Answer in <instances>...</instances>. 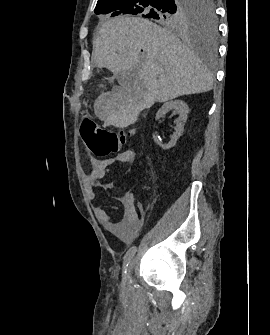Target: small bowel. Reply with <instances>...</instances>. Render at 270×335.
I'll use <instances>...</instances> for the list:
<instances>
[{"mask_svg": "<svg viewBox=\"0 0 270 335\" xmlns=\"http://www.w3.org/2000/svg\"><path fill=\"white\" fill-rule=\"evenodd\" d=\"M135 159L133 150H125L109 159L90 158V169L85 173V182L89 187L90 194L94 195L92 188H109L110 185H103L100 180L113 165L128 164ZM119 201L124 207V213L119 221H113L110 214L101 207H94L93 211L96 218L114 236L122 241H132L143 227V219L139 216L133 193L128 190L119 196Z\"/></svg>", "mask_w": 270, "mask_h": 335, "instance_id": "c3829d8e", "label": "small bowel"}]
</instances>
